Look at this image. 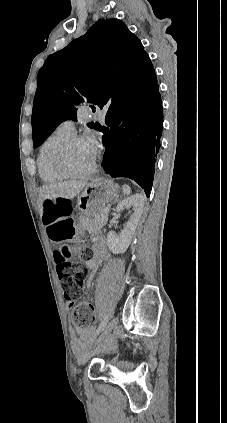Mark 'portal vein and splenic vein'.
<instances>
[{"label": "portal vein and splenic vein", "mask_w": 227, "mask_h": 423, "mask_svg": "<svg viewBox=\"0 0 227 423\" xmlns=\"http://www.w3.org/2000/svg\"><path fill=\"white\" fill-rule=\"evenodd\" d=\"M110 210V208H104V211H109Z\"/></svg>", "instance_id": "18ae733b"}]
</instances>
